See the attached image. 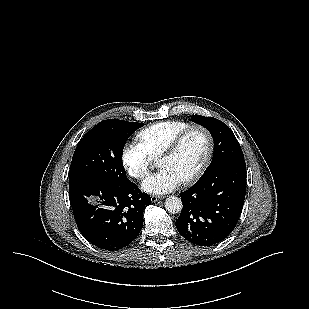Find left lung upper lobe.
Listing matches in <instances>:
<instances>
[{
	"label": "left lung upper lobe",
	"mask_w": 309,
	"mask_h": 309,
	"mask_svg": "<svg viewBox=\"0 0 309 309\" xmlns=\"http://www.w3.org/2000/svg\"><path fill=\"white\" fill-rule=\"evenodd\" d=\"M191 120L208 129L214 140L213 159L205 172L225 162L244 158L241 146L235 135L222 121L213 117H204L200 115H193Z\"/></svg>",
	"instance_id": "1"
}]
</instances>
